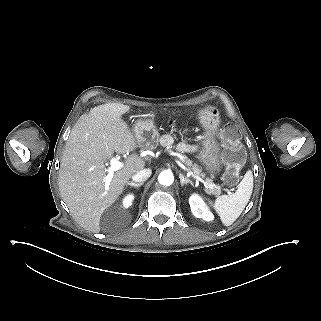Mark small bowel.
I'll return each mask as SVG.
<instances>
[{
	"instance_id": "obj_1",
	"label": "small bowel",
	"mask_w": 321,
	"mask_h": 321,
	"mask_svg": "<svg viewBox=\"0 0 321 321\" xmlns=\"http://www.w3.org/2000/svg\"><path fill=\"white\" fill-rule=\"evenodd\" d=\"M187 149H188L189 151H193V150L196 149V147H195V146H187Z\"/></svg>"
}]
</instances>
